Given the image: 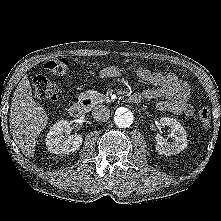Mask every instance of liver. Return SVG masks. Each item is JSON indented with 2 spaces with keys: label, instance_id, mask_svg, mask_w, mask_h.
Here are the masks:
<instances>
[{
  "label": "liver",
  "instance_id": "liver-1",
  "mask_svg": "<svg viewBox=\"0 0 221 221\" xmlns=\"http://www.w3.org/2000/svg\"><path fill=\"white\" fill-rule=\"evenodd\" d=\"M45 110L33 99L28 77L19 82L10 107V131L22 153L34 156L37 138L48 123Z\"/></svg>",
  "mask_w": 221,
  "mask_h": 221
}]
</instances>
